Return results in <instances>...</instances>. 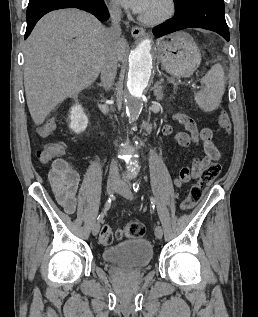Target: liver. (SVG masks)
<instances>
[{"label":"liver","mask_w":258,"mask_h":317,"mask_svg":"<svg viewBox=\"0 0 258 317\" xmlns=\"http://www.w3.org/2000/svg\"><path fill=\"white\" fill-rule=\"evenodd\" d=\"M106 34L96 16L78 8L52 10L38 20L24 46V86L35 124L96 80ZM127 46L120 38L117 56H124Z\"/></svg>","instance_id":"obj_1"}]
</instances>
